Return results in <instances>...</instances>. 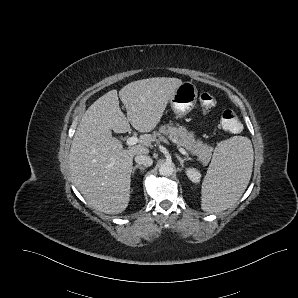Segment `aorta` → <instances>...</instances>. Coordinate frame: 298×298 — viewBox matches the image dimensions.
I'll use <instances>...</instances> for the list:
<instances>
[{
    "mask_svg": "<svg viewBox=\"0 0 298 298\" xmlns=\"http://www.w3.org/2000/svg\"><path fill=\"white\" fill-rule=\"evenodd\" d=\"M174 165L172 163L165 162L160 165L158 171L161 176L169 177L174 173Z\"/></svg>",
    "mask_w": 298,
    "mask_h": 298,
    "instance_id": "762f6f07",
    "label": "aorta"
}]
</instances>
